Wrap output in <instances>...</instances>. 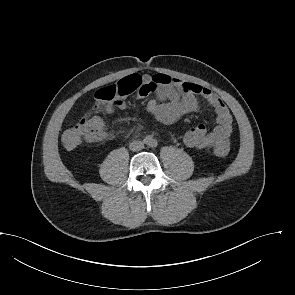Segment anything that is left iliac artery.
Segmentation results:
<instances>
[{
	"label": "left iliac artery",
	"mask_w": 295,
	"mask_h": 295,
	"mask_svg": "<svg viewBox=\"0 0 295 295\" xmlns=\"http://www.w3.org/2000/svg\"><path fill=\"white\" fill-rule=\"evenodd\" d=\"M150 146H151L152 148H156V147L158 146V142H157L156 140H151V142H150Z\"/></svg>",
	"instance_id": "obj_1"
}]
</instances>
